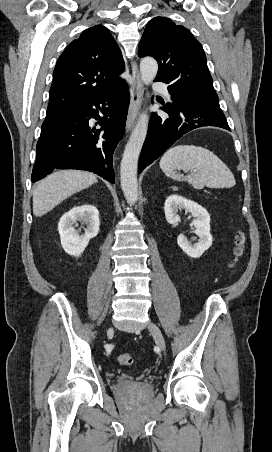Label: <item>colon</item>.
Here are the masks:
<instances>
[{"label": "colon", "mask_w": 272, "mask_h": 452, "mask_svg": "<svg viewBox=\"0 0 272 452\" xmlns=\"http://www.w3.org/2000/svg\"><path fill=\"white\" fill-rule=\"evenodd\" d=\"M236 247L234 249L235 259L243 256L245 250V237L242 233H238L235 238ZM118 361L121 365L130 366L133 364L134 360L132 355L128 353L120 354L118 356Z\"/></svg>", "instance_id": "obj_1"}]
</instances>
